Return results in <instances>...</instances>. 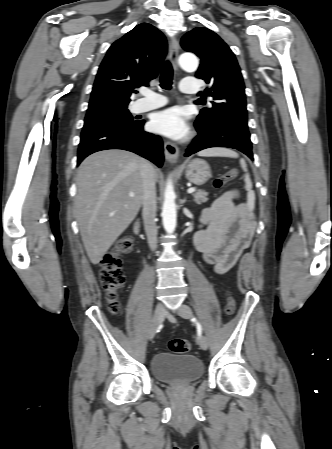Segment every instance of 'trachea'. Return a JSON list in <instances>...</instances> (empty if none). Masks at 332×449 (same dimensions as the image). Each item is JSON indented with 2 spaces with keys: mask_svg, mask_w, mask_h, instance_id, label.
<instances>
[{
  "mask_svg": "<svg viewBox=\"0 0 332 449\" xmlns=\"http://www.w3.org/2000/svg\"><path fill=\"white\" fill-rule=\"evenodd\" d=\"M173 69L171 63L167 61L162 69L160 76V86L162 89L169 90L172 88ZM202 101V100H199Z\"/></svg>",
  "mask_w": 332,
  "mask_h": 449,
  "instance_id": "3493384b",
  "label": "trachea"
}]
</instances>
